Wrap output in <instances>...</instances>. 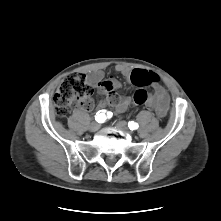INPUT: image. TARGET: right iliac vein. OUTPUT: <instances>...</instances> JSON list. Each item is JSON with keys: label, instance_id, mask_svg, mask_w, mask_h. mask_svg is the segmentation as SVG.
<instances>
[{"label": "right iliac vein", "instance_id": "obj_1", "mask_svg": "<svg viewBox=\"0 0 221 221\" xmlns=\"http://www.w3.org/2000/svg\"><path fill=\"white\" fill-rule=\"evenodd\" d=\"M100 128V124L97 123V122H92L90 125H89V130L91 132H96L97 130H99Z\"/></svg>", "mask_w": 221, "mask_h": 221}]
</instances>
